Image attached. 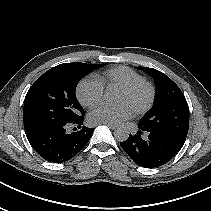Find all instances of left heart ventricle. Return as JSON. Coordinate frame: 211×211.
Listing matches in <instances>:
<instances>
[{
    "mask_svg": "<svg viewBox=\"0 0 211 211\" xmlns=\"http://www.w3.org/2000/svg\"><path fill=\"white\" fill-rule=\"evenodd\" d=\"M148 98V90L146 88H141L133 94H127L120 90L117 96V103L126 104L131 108L141 105L146 102Z\"/></svg>",
    "mask_w": 211,
    "mask_h": 211,
    "instance_id": "left-heart-ventricle-1",
    "label": "left heart ventricle"
}]
</instances>
